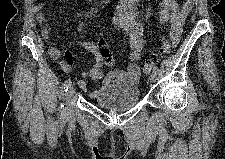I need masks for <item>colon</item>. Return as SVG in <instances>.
<instances>
[{
	"mask_svg": "<svg viewBox=\"0 0 225 159\" xmlns=\"http://www.w3.org/2000/svg\"><path fill=\"white\" fill-rule=\"evenodd\" d=\"M171 49V44L168 41H164L160 53L150 61H147L143 66V72L149 73L161 60V58L167 54Z\"/></svg>",
	"mask_w": 225,
	"mask_h": 159,
	"instance_id": "obj_1",
	"label": "colon"
}]
</instances>
